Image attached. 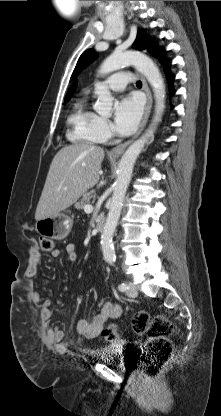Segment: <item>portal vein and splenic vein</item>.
I'll list each match as a JSON object with an SVG mask.
<instances>
[{"label":"portal vein and splenic vein","instance_id":"1","mask_svg":"<svg viewBox=\"0 0 221 416\" xmlns=\"http://www.w3.org/2000/svg\"><path fill=\"white\" fill-rule=\"evenodd\" d=\"M84 211H85L86 213H90V212H92V211H93V206H92V205H90V204L85 205V206H84Z\"/></svg>","mask_w":221,"mask_h":416}]
</instances>
